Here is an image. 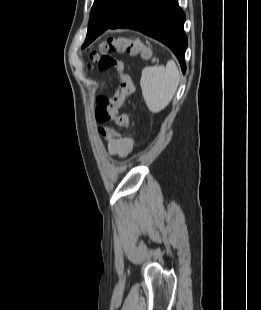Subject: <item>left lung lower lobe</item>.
<instances>
[{
    "instance_id": "obj_1",
    "label": "left lung lower lobe",
    "mask_w": 261,
    "mask_h": 310,
    "mask_svg": "<svg viewBox=\"0 0 261 310\" xmlns=\"http://www.w3.org/2000/svg\"><path fill=\"white\" fill-rule=\"evenodd\" d=\"M185 14L178 0H123L116 15L107 23H89L83 47L89 45L107 29L138 30L167 45L178 58L182 71L187 37L183 30Z\"/></svg>"
}]
</instances>
